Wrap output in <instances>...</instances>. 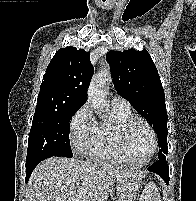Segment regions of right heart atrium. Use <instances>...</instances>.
<instances>
[{"mask_svg": "<svg viewBox=\"0 0 196 201\" xmlns=\"http://www.w3.org/2000/svg\"><path fill=\"white\" fill-rule=\"evenodd\" d=\"M97 123L88 104L82 105L69 122V136L74 152L88 153L94 142Z\"/></svg>", "mask_w": 196, "mask_h": 201, "instance_id": "1", "label": "right heart atrium"}]
</instances>
